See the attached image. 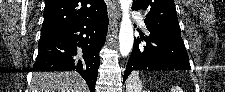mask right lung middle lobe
Here are the masks:
<instances>
[{
    "label": "right lung middle lobe",
    "mask_w": 225,
    "mask_h": 92,
    "mask_svg": "<svg viewBox=\"0 0 225 92\" xmlns=\"http://www.w3.org/2000/svg\"><path fill=\"white\" fill-rule=\"evenodd\" d=\"M61 30H41V38L60 33Z\"/></svg>",
    "instance_id": "right-lung-middle-lobe-1"
}]
</instances>
